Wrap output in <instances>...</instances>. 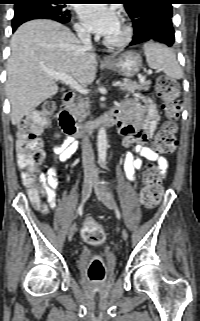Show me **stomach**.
I'll use <instances>...</instances> for the list:
<instances>
[{
  "mask_svg": "<svg viewBox=\"0 0 200 321\" xmlns=\"http://www.w3.org/2000/svg\"><path fill=\"white\" fill-rule=\"evenodd\" d=\"M106 67L124 77H133L142 67V57L136 51H126L113 57Z\"/></svg>",
  "mask_w": 200,
  "mask_h": 321,
  "instance_id": "1",
  "label": "stomach"
}]
</instances>
